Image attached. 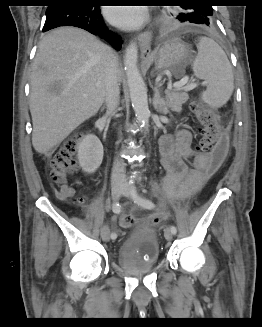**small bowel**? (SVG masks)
I'll return each mask as SVG.
<instances>
[{"label": "small bowel", "instance_id": "obj_1", "mask_svg": "<svg viewBox=\"0 0 262 327\" xmlns=\"http://www.w3.org/2000/svg\"><path fill=\"white\" fill-rule=\"evenodd\" d=\"M160 153L162 164L166 171L162 187L164 192L173 198L184 199L195 194L203 182L212 174L208 164L209 155L196 153L192 148V134L181 129L175 135L161 137ZM78 204H85L83 198H78Z\"/></svg>", "mask_w": 262, "mask_h": 327}]
</instances>
